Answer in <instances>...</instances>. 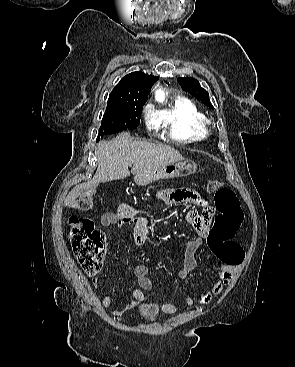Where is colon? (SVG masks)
<instances>
[{
  "label": "colon",
  "instance_id": "colon-1",
  "mask_svg": "<svg viewBox=\"0 0 295 367\" xmlns=\"http://www.w3.org/2000/svg\"><path fill=\"white\" fill-rule=\"evenodd\" d=\"M207 190L214 195L218 215L208 237L209 246L219 257L228 264H240L244 252L233 238L240 228L243 213L236 194L226 187L223 182L213 180L208 183ZM94 206V197L91 193L80 195L73 207L79 211H89ZM70 241L73 252L81 267L88 274L97 273L102 265L105 253V239L103 233L95 228L90 218L72 216Z\"/></svg>",
  "mask_w": 295,
  "mask_h": 367
}]
</instances>
